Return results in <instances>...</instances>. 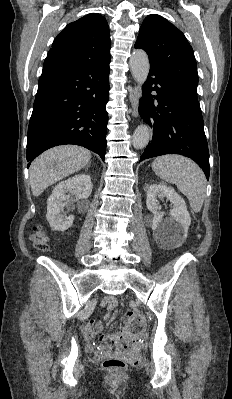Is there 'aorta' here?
<instances>
[{"label":"aorta","mask_w":232,"mask_h":399,"mask_svg":"<svg viewBox=\"0 0 232 399\" xmlns=\"http://www.w3.org/2000/svg\"><path fill=\"white\" fill-rule=\"evenodd\" d=\"M129 65L133 78L143 84L148 77L150 64L148 55L141 49L134 50ZM151 130L148 125L142 124L136 128L132 137V144L135 149H143L149 143Z\"/></svg>","instance_id":"obj_1"}]
</instances>
